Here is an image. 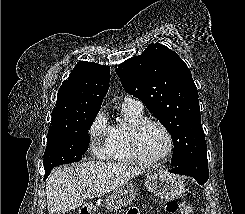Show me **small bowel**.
Listing matches in <instances>:
<instances>
[{
    "label": "small bowel",
    "instance_id": "c3829d8e",
    "mask_svg": "<svg viewBox=\"0 0 245 214\" xmlns=\"http://www.w3.org/2000/svg\"><path fill=\"white\" fill-rule=\"evenodd\" d=\"M127 214H139V211L136 207H132L128 210Z\"/></svg>",
    "mask_w": 245,
    "mask_h": 214
}]
</instances>
